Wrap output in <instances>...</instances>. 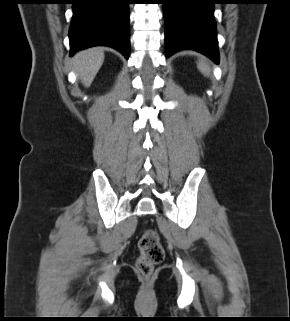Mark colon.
<instances>
[{
    "label": "colon",
    "mask_w": 290,
    "mask_h": 321,
    "mask_svg": "<svg viewBox=\"0 0 290 321\" xmlns=\"http://www.w3.org/2000/svg\"><path fill=\"white\" fill-rule=\"evenodd\" d=\"M139 251L136 268L144 277H149L154 267L160 264L165 257V251L160 237L154 230H147L139 240Z\"/></svg>",
    "instance_id": "5ec220e1"
}]
</instances>
